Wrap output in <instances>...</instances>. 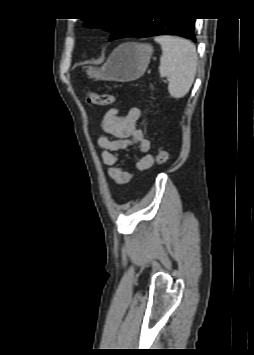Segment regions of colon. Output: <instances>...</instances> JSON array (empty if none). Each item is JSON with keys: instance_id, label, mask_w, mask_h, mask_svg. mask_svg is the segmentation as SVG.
I'll use <instances>...</instances> for the list:
<instances>
[{"instance_id": "obj_1", "label": "colon", "mask_w": 254, "mask_h": 355, "mask_svg": "<svg viewBox=\"0 0 254 355\" xmlns=\"http://www.w3.org/2000/svg\"><path fill=\"white\" fill-rule=\"evenodd\" d=\"M115 98L110 93H95V92H88L87 93V102L90 105L94 106H108L113 104ZM168 152L162 148H159L156 152V163L158 165H163L168 161Z\"/></svg>"}]
</instances>
